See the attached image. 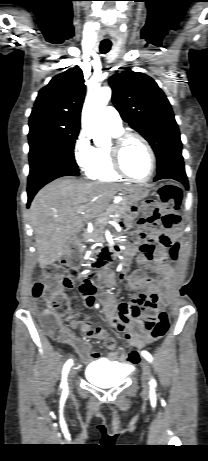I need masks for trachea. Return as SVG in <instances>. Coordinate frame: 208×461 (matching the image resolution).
Wrapping results in <instances>:
<instances>
[{
  "mask_svg": "<svg viewBox=\"0 0 208 461\" xmlns=\"http://www.w3.org/2000/svg\"><path fill=\"white\" fill-rule=\"evenodd\" d=\"M110 49H111V43H101L100 44V52L102 54L108 53Z\"/></svg>",
  "mask_w": 208,
  "mask_h": 461,
  "instance_id": "1",
  "label": "trachea"
}]
</instances>
